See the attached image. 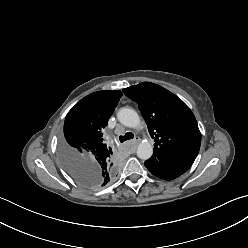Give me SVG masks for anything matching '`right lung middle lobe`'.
<instances>
[{
	"instance_id": "obj_1",
	"label": "right lung middle lobe",
	"mask_w": 248,
	"mask_h": 248,
	"mask_svg": "<svg viewBox=\"0 0 248 248\" xmlns=\"http://www.w3.org/2000/svg\"><path fill=\"white\" fill-rule=\"evenodd\" d=\"M64 141L61 144L60 151L63 150ZM62 163L66 171L72 176L77 182L84 186H91L93 184V178L95 172L92 171L88 164L81 160V158L74 156V158L68 162L64 157L61 158Z\"/></svg>"
}]
</instances>
